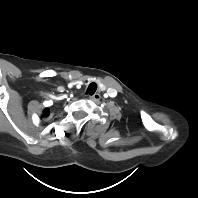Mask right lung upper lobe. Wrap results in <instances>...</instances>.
<instances>
[{
  "mask_svg": "<svg viewBox=\"0 0 198 198\" xmlns=\"http://www.w3.org/2000/svg\"><path fill=\"white\" fill-rule=\"evenodd\" d=\"M49 114H50V110H49L48 108H46V109L43 111L42 117H47Z\"/></svg>",
  "mask_w": 198,
  "mask_h": 198,
  "instance_id": "1",
  "label": "right lung upper lobe"
}]
</instances>
